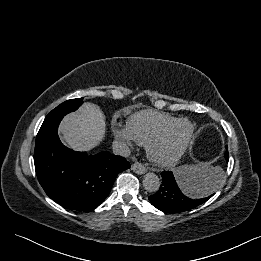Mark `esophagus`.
<instances>
[{
  "label": "esophagus",
  "instance_id": "esophagus-1",
  "mask_svg": "<svg viewBox=\"0 0 261 261\" xmlns=\"http://www.w3.org/2000/svg\"><path fill=\"white\" fill-rule=\"evenodd\" d=\"M131 169L139 175H142L147 171L146 167L141 162L133 163Z\"/></svg>",
  "mask_w": 261,
  "mask_h": 261
}]
</instances>
